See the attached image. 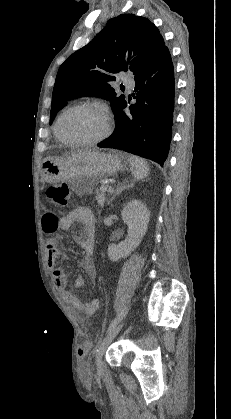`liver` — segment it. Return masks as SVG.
I'll list each match as a JSON object with an SVG mask.
<instances>
[{
  "mask_svg": "<svg viewBox=\"0 0 231 419\" xmlns=\"http://www.w3.org/2000/svg\"><path fill=\"white\" fill-rule=\"evenodd\" d=\"M77 152H83V150H79V151H77Z\"/></svg>",
  "mask_w": 231,
  "mask_h": 419,
  "instance_id": "6515ba94",
  "label": "liver"
}]
</instances>
